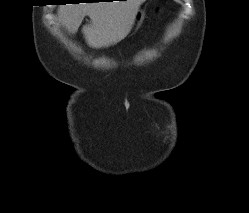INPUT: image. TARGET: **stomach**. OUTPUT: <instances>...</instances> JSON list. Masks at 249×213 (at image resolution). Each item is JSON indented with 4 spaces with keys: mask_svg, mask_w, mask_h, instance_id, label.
<instances>
[{
    "mask_svg": "<svg viewBox=\"0 0 249 213\" xmlns=\"http://www.w3.org/2000/svg\"><path fill=\"white\" fill-rule=\"evenodd\" d=\"M143 20H144V12L141 10H138L133 26L139 27L141 23L143 22Z\"/></svg>",
    "mask_w": 249,
    "mask_h": 213,
    "instance_id": "0dacf381",
    "label": "stomach"
}]
</instances>
